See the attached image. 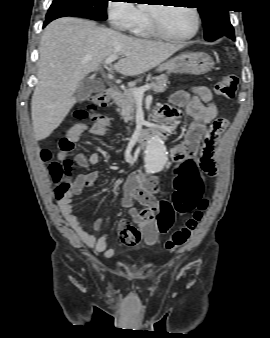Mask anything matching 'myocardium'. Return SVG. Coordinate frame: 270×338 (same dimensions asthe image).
I'll use <instances>...</instances> for the list:
<instances>
[{"instance_id": "f54148a6", "label": "myocardium", "mask_w": 270, "mask_h": 338, "mask_svg": "<svg viewBox=\"0 0 270 338\" xmlns=\"http://www.w3.org/2000/svg\"><path fill=\"white\" fill-rule=\"evenodd\" d=\"M157 7H170L167 5H150L149 9H148V19H149V26L151 28V31L153 32L154 35L166 39V40H170V41H186L189 39H192L193 37L196 36V34L198 33L199 29H200V15L198 13V10L195 7H191L189 6L188 8H190L195 16V28L194 30L185 36H175L172 34H169L168 32H166L160 25L157 14H156V10L155 8Z\"/></svg>"}]
</instances>
